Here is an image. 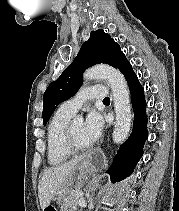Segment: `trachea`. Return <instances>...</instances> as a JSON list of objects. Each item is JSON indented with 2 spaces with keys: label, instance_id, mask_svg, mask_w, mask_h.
<instances>
[{
  "label": "trachea",
  "instance_id": "trachea-1",
  "mask_svg": "<svg viewBox=\"0 0 179 211\" xmlns=\"http://www.w3.org/2000/svg\"><path fill=\"white\" fill-rule=\"evenodd\" d=\"M103 101H110V98L106 97Z\"/></svg>",
  "mask_w": 179,
  "mask_h": 211
}]
</instances>
